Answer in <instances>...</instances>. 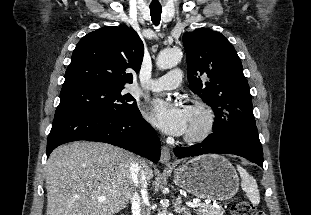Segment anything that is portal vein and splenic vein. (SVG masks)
<instances>
[{
    "mask_svg": "<svg viewBox=\"0 0 311 215\" xmlns=\"http://www.w3.org/2000/svg\"><path fill=\"white\" fill-rule=\"evenodd\" d=\"M105 200H106L105 196L99 197V201H105ZM186 204L192 208L199 207V204L197 202H186Z\"/></svg>",
    "mask_w": 311,
    "mask_h": 215,
    "instance_id": "obj_1",
    "label": "portal vein and splenic vein"
}]
</instances>
